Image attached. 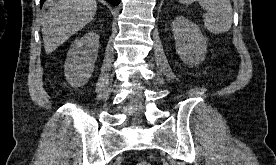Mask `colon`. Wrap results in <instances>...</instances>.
I'll use <instances>...</instances> for the list:
<instances>
[{"label":"colon","instance_id":"obj_1","mask_svg":"<svg viewBox=\"0 0 276 165\" xmlns=\"http://www.w3.org/2000/svg\"><path fill=\"white\" fill-rule=\"evenodd\" d=\"M135 165H151V164L147 161H140V162H137Z\"/></svg>","mask_w":276,"mask_h":165}]
</instances>
